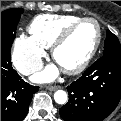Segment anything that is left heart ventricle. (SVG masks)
Here are the masks:
<instances>
[{
  "mask_svg": "<svg viewBox=\"0 0 121 121\" xmlns=\"http://www.w3.org/2000/svg\"><path fill=\"white\" fill-rule=\"evenodd\" d=\"M97 37L96 26L84 22L70 35L68 40L57 50L56 63L62 69L78 65L93 47Z\"/></svg>",
  "mask_w": 121,
  "mask_h": 121,
  "instance_id": "obj_1",
  "label": "left heart ventricle"
}]
</instances>
